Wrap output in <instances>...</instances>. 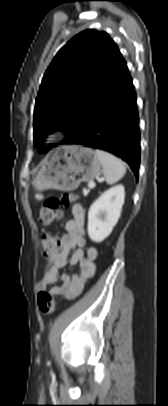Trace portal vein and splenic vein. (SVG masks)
Returning a JSON list of instances; mask_svg holds the SVG:
<instances>
[{"label": "portal vein and splenic vein", "mask_w": 168, "mask_h": 406, "mask_svg": "<svg viewBox=\"0 0 168 406\" xmlns=\"http://www.w3.org/2000/svg\"><path fill=\"white\" fill-rule=\"evenodd\" d=\"M95 185H96V184H95L94 182H90V183H89V188L92 189V188L95 187Z\"/></svg>", "instance_id": "portal-vein-and-splenic-vein-1"}]
</instances>
